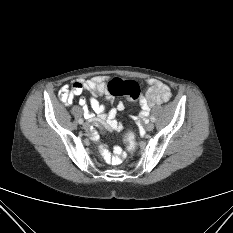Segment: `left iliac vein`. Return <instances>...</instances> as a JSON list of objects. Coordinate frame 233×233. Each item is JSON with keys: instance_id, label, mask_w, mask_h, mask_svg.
I'll list each match as a JSON object with an SVG mask.
<instances>
[{"instance_id": "1", "label": "left iliac vein", "mask_w": 233, "mask_h": 233, "mask_svg": "<svg viewBox=\"0 0 233 233\" xmlns=\"http://www.w3.org/2000/svg\"><path fill=\"white\" fill-rule=\"evenodd\" d=\"M145 129L146 131L150 132L154 129V124L153 123H148L146 126H145Z\"/></svg>"}]
</instances>
